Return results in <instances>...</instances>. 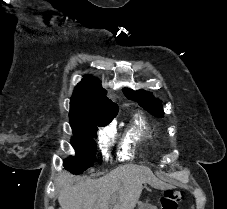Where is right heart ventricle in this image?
<instances>
[{
    "instance_id": "1",
    "label": "right heart ventricle",
    "mask_w": 227,
    "mask_h": 209,
    "mask_svg": "<svg viewBox=\"0 0 227 209\" xmlns=\"http://www.w3.org/2000/svg\"><path fill=\"white\" fill-rule=\"evenodd\" d=\"M156 138V129L150 126L142 115H133L120 144L118 158L121 160L132 159L135 154L134 147L138 143L145 140H154Z\"/></svg>"
}]
</instances>
